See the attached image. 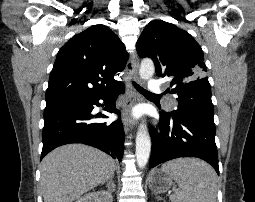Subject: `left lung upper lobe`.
Here are the masks:
<instances>
[{
    "mask_svg": "<svg viewBox=\"0 0 255 202\" xmlns=\"http://www.w3.org/2000/svg\"><path fill=\"white\" fill-rule=\"evenodd\" d=\"M138 55L151 58L158 76L170 77L167 91L178 95V108L168 115L196 114L213 119L211 89L200 45L186 31L155 20L143 30L136 44Z\"/></svg>",
    "mask_w": 255,
    "mask_h": 202,
    "instance_id": "left-lung-upper-lobe-1",
    "label": "left lung upper lobe"
}]
</instances>
